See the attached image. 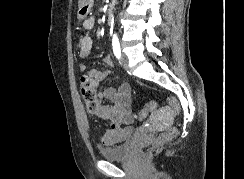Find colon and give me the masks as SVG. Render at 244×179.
<instances>
[{
	"label": "colon",
	"mask_w": 244,
	"mask_h": 179,
	"mask_svg": "<svg viewBox=\"0 0 244 179\" xmlns=\"http://www.w3.org/2000/svg\"><path fill=\"white\" fill-rule=\"evenodd\" d=\"M96 90H97V80L93 77H84L81 80L80 93L83 102L87 108L88 112H95L96 110ZM167 107H171L172 115H176L179 112L178 100L174 96H167L166 98ZM145 107L140 111V118H138V123H145V119H149V112H153L156 108L154 101H145ZM177 128L171 125L168 128V133H165V137H159V142H156V147H165V142H171V138H176Z\"/></svg>",
	"instance_id": "colon-1"
}]
</instances>
